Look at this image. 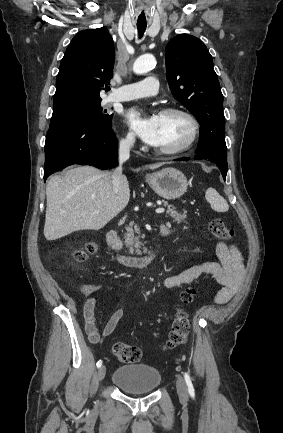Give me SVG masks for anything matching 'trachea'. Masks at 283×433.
Returning <instances> with one entry per match:
<instances>
[{
    "instance_id": "3493384b",
    "label": "trachea",
    "mask_w": 283,
    "mask_h": 433,
    "mask_svg": "<svg viewBox=\"0 0 283 433\" xmlns=\"http://www.w3.org/2000/svg\"><path fill=\"white\" fill-rule=\"evenodd\" d=\"M147 25H137L138 35L139 38H142L144 35V32L146 30Z\"/></svg>"
}]
</instances>
